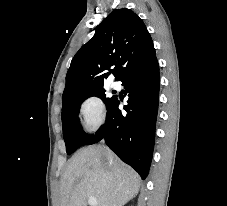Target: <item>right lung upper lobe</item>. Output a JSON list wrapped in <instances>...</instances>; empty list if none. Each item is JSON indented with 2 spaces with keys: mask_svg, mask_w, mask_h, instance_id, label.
<instances>
[{
  "mask_svg": "<svg viewBox=\"0 0 227 206\" xmlns=\"http://www.w3.org/2000/svg\"><path fill=\"white\" fill-rule=\"evenodd\" d=\"M154 57L153 41L138 15L127 8L113 10L73 57L62 100L103 87L112 66L120 81L130 69Z\"/></svg>",
  "mask_w": 227,
  "mask_h": 206,
  "instance_id": "obj_1",
  "label": "right lung upper lobe"
}]
</instances>
